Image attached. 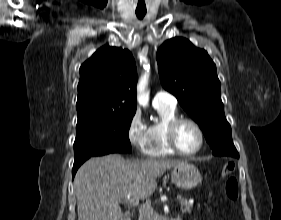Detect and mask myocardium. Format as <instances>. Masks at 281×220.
<instances>
[{
    "label": "myocardium",
    "mask_w": 281,
    "mask_h": 220,
    "mask_svg": "<svg viewBox=\"0 0 281 220\" xmlns=\"http://www.w3.org/2000/svg\"><path fill=\"white\" fill-rule=\"evenodd\" d=\"M183 123H189V124L193 125L199 134V138H200L199 145H198L197 149H195L192 152L183 151L182 149H180V147L177 143V138H176L177 129ZM166 140H167L168 146L176 154L189 157V156H194L201 151V149L203 148V145H204L205 136H204V131H203L202 127L194 119L188 118V117H176L173 120H171L167 125Z\"/></svg>",
    "instance_id": "f54148a6"
}]
</instances>
